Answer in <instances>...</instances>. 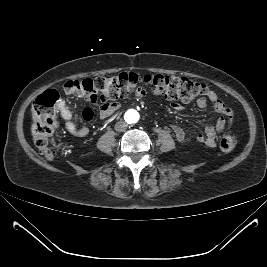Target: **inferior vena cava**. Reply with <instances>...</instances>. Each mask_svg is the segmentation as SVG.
Returning a JSON list of instances; mask_svg holds the SVG:
<instances>
[{"instance_id":"602c4592","label":"inferior vena cava","mask_w":267,"mask_h":267,"mask_svg":"<svg viewBox=\"0 0 267 267\" xmlns=\"http://www.w3.org/2000/svg\"><path fill=\"white\" fill-rule=\"evenodd\" d=\"M127 123L125 121H119L115 124V130L118 132L125 131L127 128Z\"/></svg>"}]
</instances>
